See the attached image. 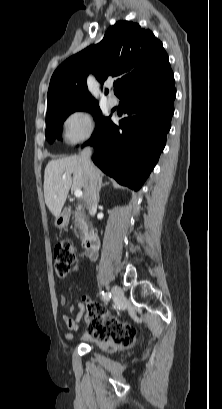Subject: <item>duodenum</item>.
I'll use <instances>...</instances> for the list:
<instances>
[{"mask_svg": "<svg viewBox=\"0 0 222 409\" xmlns=\"http://www.w3.org/2000/svg\"><path fill=\"white\" fill-rule=\"evenodd\" d=\"M83 246L87 253H94L100 247V238L97 232L87 234L83 240Z\"/></svg>", "mask_w": 222, "mask_h": 409, "instance_id": "410a0bca", "label": "duodenum"}]
</instances>
